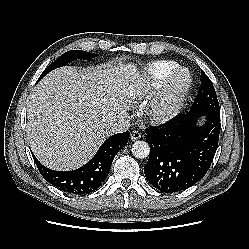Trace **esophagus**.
Wrapping results in <instances>:
<instances>
[{"instance_id": "esophagus-1", "label": "esophagus", "mask_w": 249, "mask_h": 249, "mask_svg": "<svg viewBox=\"0 0 249 249\" xmlns=\"http://www.w3.org/2000/svg\"><path fill=\"white\" fill-rule=\"evenodd\" d=\"M141 138V133L137 130H133L131 132V139L132 140H137V139H140Z\"/></svg>"}]
</instances>
